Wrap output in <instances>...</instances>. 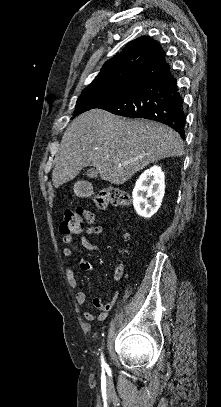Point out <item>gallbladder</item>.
Masks as SVG:
<instances>
[{
    "mask_svg": "<svg viewBox=\"0 0 221 407\" xmlns=\"http://www.w3.org/2000/svg\"><path fill=\"white\" fill-rule=\"evenodd\" d=\"M88 177H96L98 175V171L94 168L88 169L86 172Z\"/></svg>",
    "mask_w": 221,
    "mask_h": 407,
    "instance_id": "1",
    "label": "gallbladder"
}]
</instances>
